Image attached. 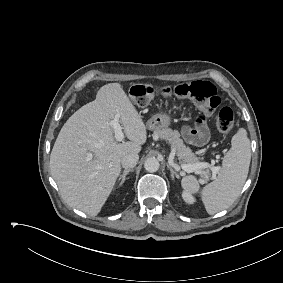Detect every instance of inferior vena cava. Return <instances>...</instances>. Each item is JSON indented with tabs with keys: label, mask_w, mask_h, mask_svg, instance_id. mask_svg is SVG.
<instances>
[{
	"label": "inferior vena cava",
	"mask_w": 283,
	"mask_h": 283,
	"mask_svg": "<svg viewBox=\"0 0 283 283\" xmlns=\"http://www.w3.org/2000/svg\"><path fill=\"white\" fill-rule=\"evenodd\" d=\"M139 160V155L137 153H131L128 155H125L122 160L121 164L122 167L125 169L133 168L136 166Z\"/></svg>",
	"instance_id": "obj_1"
}]
</instances>
